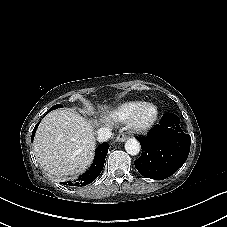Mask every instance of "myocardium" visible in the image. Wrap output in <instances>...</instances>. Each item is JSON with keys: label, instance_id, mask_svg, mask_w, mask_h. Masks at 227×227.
Segmentation results:
<instances>
[{"label": "myocardium", "instance_id": "myocardium-1", "mask_svg": "<svg viewBox=\"0 0 227 227\" xmlns=\"http://www.w3.org/2000/svg\"><path fill=\"white\" fill-rule=\"evenodd\" d=\"M152 110L149 116H144L146 110ZM159 115L158 107L152 102H143L140 106L129 116L126 124L127 127L134 133H143L148 131L157 121Z\"/></svg>", "mask_w": 227, "mask_h": 227}]
</instances>
